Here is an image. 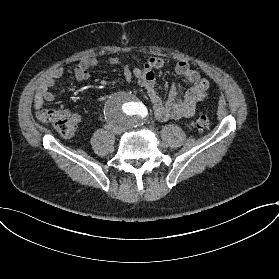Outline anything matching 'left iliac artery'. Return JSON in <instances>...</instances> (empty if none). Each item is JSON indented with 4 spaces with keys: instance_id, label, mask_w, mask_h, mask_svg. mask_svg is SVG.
I'll return each mask as SVG.
<instances>
[{
    "instance_id": "left-iliac-artery-1",
    "label": "left iliac artery",
    "mask_w": 279,
    "mask_h": 279,
    "mask_svg": "<svg viewBox=\"0 0 279 279\" xmlns=\"http://www.w3.org/2000/svg\"><path fill=\"white\" fill-rule=\"evenodd\" d=\"M140 114H141L142 117L146 116L148 114L147 109L146 108L141 109Z\"/></svg>"
}]
</instances>
